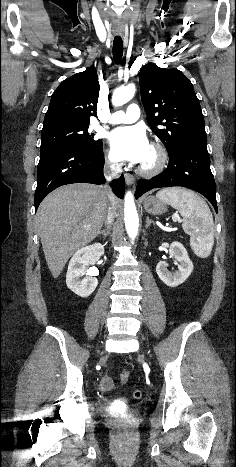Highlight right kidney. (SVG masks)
<instances>
[{
	"label": "right kidney",
	"mask_w": 236,
	"mask_h": 467,
	"mask_svg": "<svg viewBox=\"0 0 236 467\" xmlns=\"http://www.w3.org/2000/svg\"><path fill=\"white\" fill-rule=\"evenodd\" d=\"M104 254V246L100 243H95L90 246L79 249L72 256L67 274V287L80 297L90 296L98 285L96 277L98 271L96 269H88L90 264H93L96 259Z\"/></svg>",
	"instance_id": "right-kidney-1"
}]
</instances>
